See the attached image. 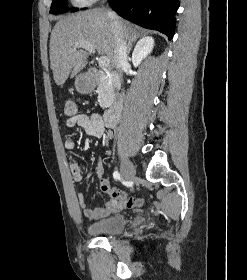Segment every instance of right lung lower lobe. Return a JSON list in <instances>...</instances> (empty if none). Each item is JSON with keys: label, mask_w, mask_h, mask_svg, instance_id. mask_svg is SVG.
Instances as JSON below:
<instances>
[{"label": "right lung lower lobe", "mask_w": 247, "mask_h": 280, "mask_svg": "<svg viewBox=\"0 0 247 280\" xmlns=\"http://www.w3.org/2000/svg\"><path fill=\"white\" fill-rule=\"evenodd\" d=\"M109 3L120 16L172 39L178 0H109Z\"/></svg>", "instance_id": "obj_1"}]
</instances>
